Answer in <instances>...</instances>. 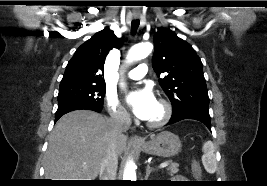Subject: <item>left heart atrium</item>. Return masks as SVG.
<instances>
[{
    "mask_svg": "<svg viewBox=\"0 0 267 186\" xmlns=\"http://www.w3.org/2000/svg\"><path fill=\"white\" fill-rule=\"evenodd\" d=\"M126 101L135 116L142 120H147L151 116L157 103L154 94L147 88L131 92Z\"/></svg>",
    "mask_w": 267,
    "mask_h": 186,
    "instance_id": "left-heart-atrium-1",
    "label": "left heart atrium"
}]
</instances>
